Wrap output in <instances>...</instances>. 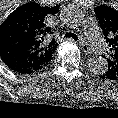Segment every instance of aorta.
Listing matches in <instances>:
<instances>
[{"instance_id":"762f6f07","label":"aorta","mask_w":118,"mask_h":118,"mask_svg":"<svg viewBox=\"0 0 118 118\" xmlns=\"http://www.w3.org/2000/svg\"><path fill=\"white\" fill-rule=\"evenodd\" d=\"M60 18L64 24L78 29L83 23V14L79 8L70 5L61 11ZM88 68L94 74H104L108 69V62L102 57H92L88 60Z\"/></svg>"}]
</instances>
